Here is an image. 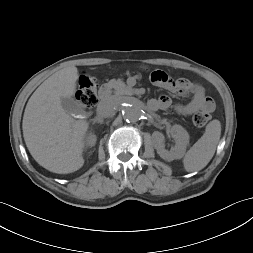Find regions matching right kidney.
Wrapping results in <instances>:
<instances>
[{
  "mask_svg": "<svg viewBox=\"0 0 253 253\" xmlns=\"http://www.w3.org/2000/svg\"><path fill=\"white\" fill-rule=\"evenodd\" d=\"M96 135L93 133H89L88 136L86 137L85 144L87 147H93L96 144Z\"/></svg>",
  "mask_w": 253,
  "mask_h": 253,
  "instance_id": "right-kidney-1",
  "label": "right kidney"
}]
</instances>
